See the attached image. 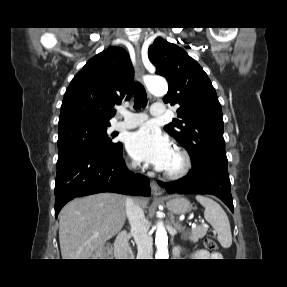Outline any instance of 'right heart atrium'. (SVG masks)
Here are the masks:
<instances>
[{
  "label": "right heart atrium",
  "instance_id": "d8ad5b80",
  "mask_svg": "<svg viewBox=\"0 0 287 287\" xmlns=\"http://www.w3.org/2000/svg\"><path fill=\"white\" fill-rule=\"evenodd\" d=\"M128 167L131 169H134L137 167V163L135 161L131 160L128 162Z\"/></svg>",
  "mask_w": 287,
  "mask_h": 287
}]
</instances>
